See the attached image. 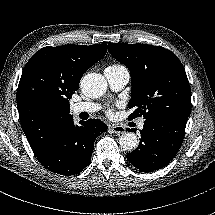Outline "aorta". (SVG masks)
Returning a JSON list of instances; mask_svg holds the SVG:
<instances>
[{
  "instance_id": "obj_1",
  "label": "aorta",
  "mask_w": 215,
  "mask_h": 215,
  "mask_svg": "<svg viewBox=\"0 0 215 215\" xmlns=\"http://www.w3.org/2000/svg\"><path fill=\"white\" fill-rule=\"evenodd\" d=\"M80 87L85 96L98 98L106 92L107 81L101 74L90 73L82 78ZM119 144L123 150L133 151L138 147L139 141L135 133L125 132L120 136Z\"/></svg>"
}]
</instances>
